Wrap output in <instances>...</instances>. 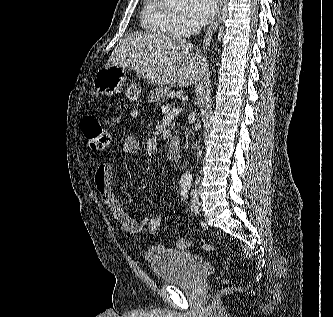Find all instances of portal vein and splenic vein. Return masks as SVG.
Wrapping results in <instances>:
<instances>
[{"instance_id":"18ae733b","label":"portal vein and splenic vein","mask_w":333,"mask_h":317,"mask_svg":"<svg viewBox=\"0 0 333 317\" xmlns=\"http://www.w3.org/2000/svg\"><path fill=\"white\" fill-rule=\"evenodd\" d=\"M169 111H170V107L169 106L166 105V106L162 107V112L166 113V112H169Z\"/></svg>"}]
</instances>
